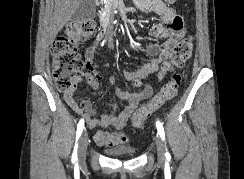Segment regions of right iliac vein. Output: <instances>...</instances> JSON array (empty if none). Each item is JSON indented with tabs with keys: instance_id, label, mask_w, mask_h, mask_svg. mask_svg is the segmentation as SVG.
I'll list each match as a JSON object with an SVG mask.
<instances>
[{
	"instance_id": "right-iliac-vein-1",
	"label": "right iliac vein",
	"mask_w": 244,
	"mask_h": 179,
	"mask_svg": "<svg viewBox=\"0 0 244 179\" xmlns=\"http://www.w3.org/2000/svg\"><path fill=\"white\" fill-rule=\"evenodd\" d=\"M87 145H88V135L87 133H83L80 142H79V161L84 162L86 158V152H87Z\"/></svg>"
}]
</instances>
